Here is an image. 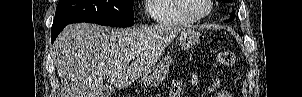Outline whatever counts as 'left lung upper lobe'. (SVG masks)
<instances>
[{"label": "left lung upper lobe", "instance_id": "5c2ea615", "mask_svg": "<svg viewBox=\"0 0 302 97\" xmlns=\"http://www.w3.org/2000/svg\"><path fill=\"white\" fill-rule=\"evenodd\" d=\"M222 1H224V2H231V0H222Z\"/></svg>", "mask_w": 302, "mask_h": 97}]
</instances>
